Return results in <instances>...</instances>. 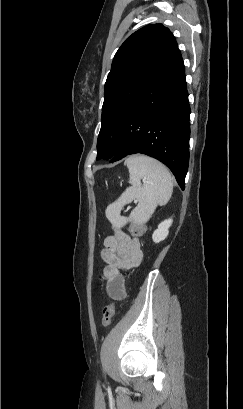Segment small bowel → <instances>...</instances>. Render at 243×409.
Masks as SVG:
<instances>
[{"label": "small bowel", "instance_id": "1", "mask_svg": "<svg viewBox=\"0 0 243 409\" xmlns=\"http://www.w3.org/2000/svg\"><path fill=\"white\" fill-rule=\"evenodd\" d=\"M102 256L105 262L103 278L106 293L112 299H123L126 289L121 271L129 270L141 262L143 253L139 241L121 228L113 227V233L104 240Z\"/></svg>", "mask_w": 243, "mask_h": 409}]
</instances>
